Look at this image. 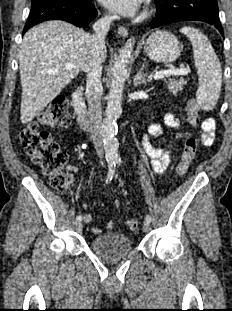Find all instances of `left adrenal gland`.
Here are the masks:
<instances>
[{
  "label": "left adrenal gland",
  "mask_w": 232,
  "mask_h": 311,
  "mask_svg": "<svg viewBox=\"0 0 232 311\" xmlns=\"http://www.w3.org/2000/svg\"><path fill=\"white\" fill-rule=\"evenodd\" d=\"M145 63L142 64L141 68L138 70L137 74L134 77V85L139 86L142 84H146L147 73L144 72Z\"/></svg>",
  "instance_id": "obj_1"
}]
</instances>
